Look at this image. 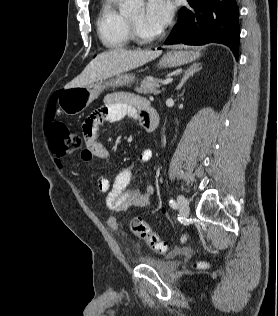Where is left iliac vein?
<instances>
[{"label": "left iliac vein", "instance_id": "1", "mask_svg": "<svg viewBox=\"0 0 278 316\" xmlns=\"http://www.w3.org/2000/svg\"><path fill=\"white\" fill-rule=\"evenodd\" d=\"M177 204H178L180 215L183 218L188 217V215H189V203H188V200L183 195H179L177 197Z\"/></svg>", "mask_w": 278, "mask_h": 316}]
</instances>
